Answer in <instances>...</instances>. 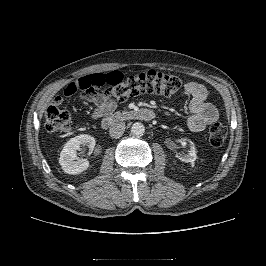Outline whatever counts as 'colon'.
I'll return each instance as SVG.
<instances>
[{"label": "colon", "instance_id": "5ec220e1", "mask_svg": "<svg viewBox=\"0 0 266 266\" xmlns=\"http://www.w3.org/2000/svg\"><path fill=\"white\" fill-rule=\"evenodd\" d=\"M182 86L181 79L171 73L149 70L124 77L118 71L107 74L96 73L80 77L71 82L65 89V95L78 92L88 93L105 87V95L117 101H125L129 97L144 92L163 96L176 94ZM57 103L49 106L45 113L44 127L49 133H61L70 130V118L67 112L58 108ZM227 137V129L220 123L209 130V142L214 147L221 146Z\"/></svg>", "mask_w": 266, "mask_h": 266}]
</instances>
